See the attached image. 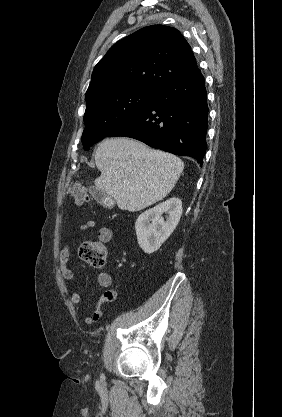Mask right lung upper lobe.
<instances>
[{
  "label": "right lung upper lobe",
  "mask_w": 282,
  "mask_h": 417,
  "mask_svg": "<svg viewBox=\"0 0 282 417\" xmlns=\"http://www.w3.org/2000/svg\"><path fill=\"white\" fill-rule=\"evenodd\" d=\"M197 69L191 47L177 29L147 26L108 50L93 70L85 98L128 88L157 91Z\"/></svg>",
  "instance_id": "cb5924a9"
}]
</instances>
